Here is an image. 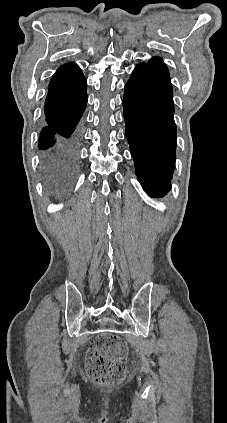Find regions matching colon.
Segmentation results:
<instances>
[{"mask_svg":"<svg viewBox=\"0 0 227 423\" xmlns=\"http://www.w3.org/2000/svg\"><path fill=\"white\" fill-rule=\"evenodd\" d=\"M126 344L116 335L104 333L94 338L87 354V369L94 382L111 385L125 375Z\"/></svg>","mask_w":227,"mask_h":423,"instance_id":"obj_1","label":"colon"}]
</instances>
